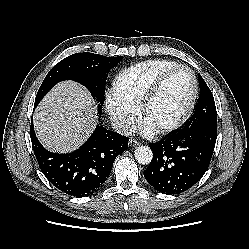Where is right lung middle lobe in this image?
Instances as JSON below:
<instances>
[{
	"mask_svg": "<svg viewBox=\"0 0 249 249\" xmlns=\"http://www.w3.org/2000/svg\"><path fill=\"white\" fill-rule=\"evenodd\" d=\"M122 59L118 57H105L94 53H76L57 63L47 74L40 86L35 99V106L44 95L58 82L73 80L84 85L96 100L104 103L105 83L110 69Z\"/></svg>",
	"mask_w": 249,
	"mask_h": 249,
	"instance_id": "obj_1",
	"label": "right lung middle lobe"
}]
</instances>
